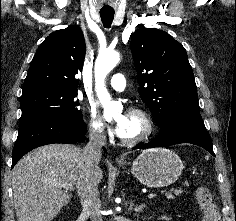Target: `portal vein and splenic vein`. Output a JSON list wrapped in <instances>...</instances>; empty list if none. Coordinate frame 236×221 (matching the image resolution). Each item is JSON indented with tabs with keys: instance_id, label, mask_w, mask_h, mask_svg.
I'll return each mask as SVG.
<instances>
[{
	"instance_id": "portal-vein-and-splenic-vein-1",
	"label": "portal vein and splenic vein",
	"mask_w": 236,
	"mask_h": 221,
	"mask_svg": "<svg viewBox=\"0 0 236 221\" xmlns=\"http://www.w3.org/2000/svg\"><path fill=\"white\" fill-rule=\"evenodd\" d=\"M61 187L64 188V189H66V190H74L73 186L70 185V184H62ZM156 196H157L156 193H150V194L148 195V198L151 199V198H154V197H156Z\"/></svg>"
}]
</instances>
